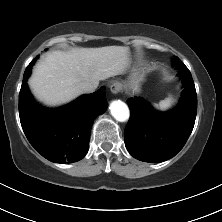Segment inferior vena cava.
<instances>
[{
    "mask_svg": "<svg viewBox=\"0 0 222 222\" xmlns=\"http://www.w3.org/2000/svg\"><path fill=\"white\" fill-rule=\"evenodd\" d=\"M97 86V83L83 82L80 84L79 88L82 93H92L96 90Z\"/></svg>",
    "mask_w": 222,
    "mask_h": 222,
    "instance_id": "obj_1",
    "label": "inferior vena cava"
}]
</instances>
